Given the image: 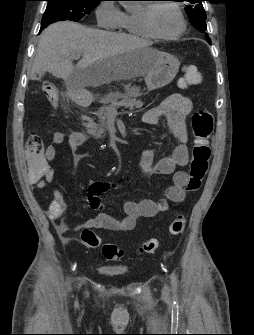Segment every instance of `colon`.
<instances>
[{"label":"colon","instance_id":"5ec220e1","mask_svg":"<svg viewBox=\"0 0 254 335\" xmlns=\"http://www.w3.org/2000/svg\"><path fill=\"white\" fill-rule=\"evenodd\" d=\"M201 81V73L195 65L187 64L183 67V75L180 79L182 87L197 85ZM42 91L53 107L59 103L57 89L52 84L42 86ZM191 126L194 135V146L190 163L189 176L185 186L188 192H196L201 187L202 181L208 170L211 157L209 140L213 133L214 121L212 114L207 110H197L191 116ZM27 178H40V185H53V172L50 165L44 162L43 144L36 134H33L26 147ZM186 218L182 214L175 215L169 225L171 235L183 233ZM82 243L88 248L101 246V239L91 229H84L80 235ZM159 241L155 238L146 240L138 249L139 254L151 255L158 249ZM101 252L106 260H120L124 251L115 244H104Z\"/></svg>","mask_w":254,"mask_h":335}]
</instances>
